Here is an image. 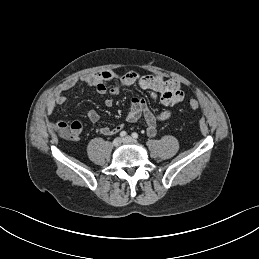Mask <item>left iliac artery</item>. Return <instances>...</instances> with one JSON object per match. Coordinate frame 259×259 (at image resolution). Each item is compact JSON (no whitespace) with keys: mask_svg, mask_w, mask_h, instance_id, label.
<instances>
[{"mask_svg":"<svg viewBox=\"0 0 259 259\" xmlns=\"http://www.w3.org/2000/svg\"><path fill=\"white\" fill-rule=\"evenodd\" d=\"M132 137H133L134 139H137V138H138V134H137L136 132H134V133H132Z\"/></svg>","mask_w":259,"mask_h":259,"instance_id":"1","label":"left iliac artery"}]
</instances>
